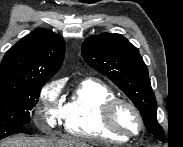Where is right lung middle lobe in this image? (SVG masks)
Wrapping results in <instances>:
<instances>
[{"label": "right lung middle lobe", "instance_id": "obj_1", "mask_svg": "<svg viewBox=\"0 0 183 147\" xmlns=\"http://www.w3.org/2000/svg\"><path fill=\"white\" fill-rule=\"evenodd\" d=\"M46 82L35 80L21 85H0V135L30 122V111Z\"/></svg>", "mask_w": 183, "mask_h": 147}]
</instances>
